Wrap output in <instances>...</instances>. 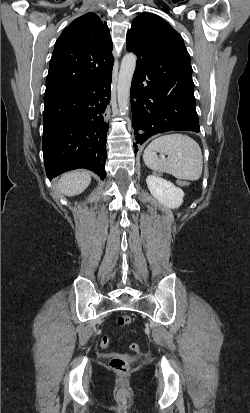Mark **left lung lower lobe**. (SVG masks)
Instances as JSON below:
<instances>
[{
  "label": "left lung lower lobe",
  "mask_w": 250,
  "mask_h": 413,
  "mask_svg": "<svg viewBox=\"0 0 250 413\" xmlns=\"http://www.w3.org/2000/svg\"><path fill=\"white\" fill-rule=\"evenodd\" d=\"M136 70L131 84L132 124L136 134L134 146L167 131L199 132L193 81H176L172 75L154 76L137 52ZM137 153V149L135 150Z\"/></svg>",
  "instance_id": "left-lung-lower-lobe-1"
}]
</instances>
